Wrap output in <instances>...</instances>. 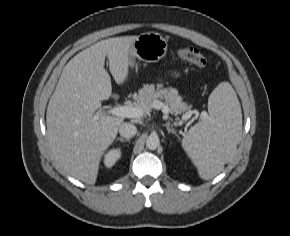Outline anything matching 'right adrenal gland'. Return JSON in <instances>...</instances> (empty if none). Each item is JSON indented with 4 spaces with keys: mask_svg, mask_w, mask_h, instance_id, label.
<instances>
[{
    "mask_svg": "<svg viewBox=\"0 0 290 236\" xmlns=\"http://www.w3.org/2000/svg\"><path fill=\"white\" fill-rule=\"evenodd\" d=\"M116 141H121V142H130V139H129V138L124 139V138H122V137H118V138L116 139Z\"/></svg>",
    "mask_w": 290,
    "mask_h": 236,
    "instance_id": "obj_1",
    "label": "right adrenal gland"
}]
</instances>
